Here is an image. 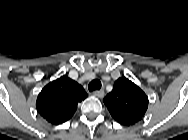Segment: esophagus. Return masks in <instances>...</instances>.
I'll use <instances>...</instances> for the list:
<instances>
[{
	"label": "esophagus",
	"instance_id": "1",
	"mask_svg": "<svg viewBox=\"0 0 188 140\" xmlns=\"http://www.w3.org/2000/svg\"><path fill=\"white\" fill-rule=\"evenodd\" d=\"M92 94L98 98H103L105 93L104 90H95Z\"/></svg>",
	"mask_w": 188,
	"mask_h": 140
}]
</instances>
